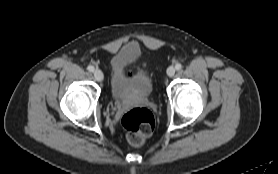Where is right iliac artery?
<instances>
[{
  "label": "right iliac artery",
  "mask_w": 278,
  "mask_h": 174,
  "mask_svg": "<svg viewBox=\"0 0 278 174\" xmlns=\"http://www.w3.org/2000/svg\"><path fill=\"white\" fill-rule=\"evenodd\" d=\"M87 69H88L90 72H94V70H95L94 66H92V65H89V66L87 67Z\"/></svg>",
  "instance_id": "right-iliac-artery-1"
}]
</instances>
